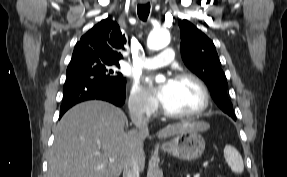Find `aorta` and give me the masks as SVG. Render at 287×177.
<instances>
[{"mask_svg":"<svg viewBox=\"0 0 287 177\" xmlns=\"http://www.w3.org/2000/svg\"><path fill=\"white\" fill-rule=\"evenodd\" d=\"M170 43V34L165 30L152 31L147 39V46L151 50H159L166 47ZM157 82L164 81L163 76L156 78Z\"/></svg>","mask_w":287,"mask_h":177,"instance_id":"762f6f07","label":"aorta"}]
</instances>
